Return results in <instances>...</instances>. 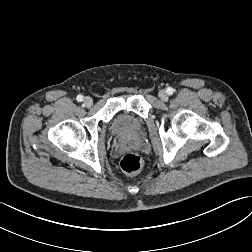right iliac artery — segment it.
Masks as SVG:
<instances>
[{"label":"right iliac artery","mask_w":252,"mask_h":252,"mask_svg":"<svg viewBox=\"0 0 252 252\" xmlns=\"http://www.w3.org/2000/svg\"><path fill=\"white\" fill-rule=\"evenodd\" d=\"M76 99H77V101L81 102V101H83V96L82 95H78L76 97Z\"/></svg>","instance_id":"1"}]
</instances>
